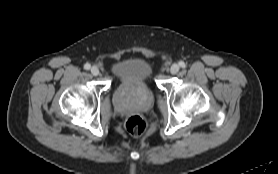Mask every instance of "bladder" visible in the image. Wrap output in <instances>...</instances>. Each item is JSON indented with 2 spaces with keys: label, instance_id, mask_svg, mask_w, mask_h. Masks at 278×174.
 Returning <instances> with one entry per match:
<instances>
[{
  "label": "bladder",
  "instance_id": "obj_1",
  "mask_svg": "<svg viewBox=\"0 0 278 174\" xmlns=\"http://www.w3.org/2000/svg\"><path fill=\"white\" fill-rule=\"evenodd\" d=\"M112 72L121 83L138 86L150 81L152 67L141 57H126L112 65Z\"/></svg>",
  "mask_w": 278,
  "mask_h": 174
}]
</instances>
